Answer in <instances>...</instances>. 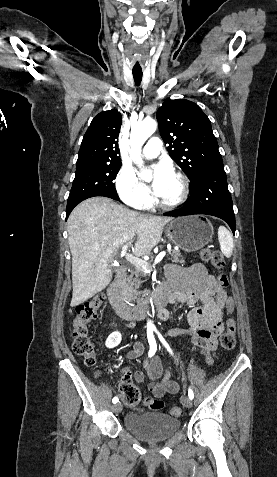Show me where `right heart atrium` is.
<instances>
[{
	"instance_id": "right-heart-atrium-1",
	"label": "right heart atrium",
	"mask_w": 277,
	"mask_h": 477,
	"mask_svg": "<svg viewBox=\"0 0 277 477\" xmlns=\"http://www.w3.org/2000/svg\"><path fill=\"white\" fill-rule=\"evenodd\" d=\"M116 190L120 199L128 206L136 209H146L152 204L149 189L139 181L135 172L122 167L115 179Z\"/></svg>"
}]
</instances>
